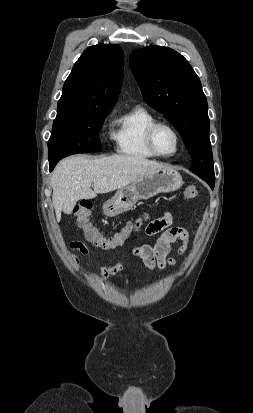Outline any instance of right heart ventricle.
<instances>
[{
  "label": "right heart ventricle",
  "mask_w": 253,
  "mask_h": 413,
  "mask_svg": "<svg viewBox=\"0 0 253 413\" xmlns=\"http://www.w3.org/2000/svg\"><path fill=\"white\" fill-rule=\"evenodd\" d=\"M155 121L152 113L139 106L121 116L114 133L117 152L136 159L155 157L145 141L146 129Z\"/></svg>",
  "instance_id": "obj_1"
}]
</instances>
